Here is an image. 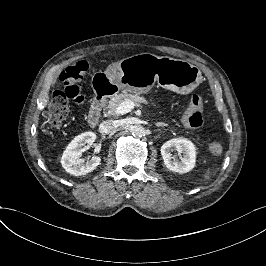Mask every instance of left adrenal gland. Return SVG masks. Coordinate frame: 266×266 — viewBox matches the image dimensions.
<instances>
[{
  "mask_svg": "<svg viewBox=\"0 0 266 266\" xmlns=\"http://www.w3.org/2000/svg\"><path fill=\"white\" fill-rule=\"evenodd\" d=\"M157 127H167L168 125L166 123H156Z\"/></svg>",
  "mask_w": 266,
  "mask_h": 266,
  "instance_id": "1",
  "label": "left adrenal gland"
}]
</instances>
